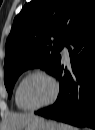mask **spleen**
<instances>
[{
	"mask_svg": "<svg viewBox=\"0 0 95 130\" xmlns=\"http://www.w3.org/2000/svg\"><path fill=\"white\" fill-rule=\"evenodd\" d=\"M59 129H60V130H76L75 127L70 126V125H68V124H64V123H60V124H59Z\"/></svg>",
	"mask_w": 95,
	"mask_h": 130,
	"instance_id": "obj_1",
	"label": "spleen"
}]
</instances>
